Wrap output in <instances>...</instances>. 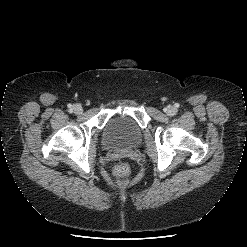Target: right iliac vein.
I'll return each instance as SVG.
<instances>
[{"label": "right iliac vein", "instance_id": "right-iliac-vein-1", "mask_svg": "<svg viewBox=\"0 0 247 247\" xmlns=\"http://www.w3.org/2000/svg\"><path fill=\"white\" fill-rule=\"evenodd\" d=\"M74 111H75V113L80 114V113H82L83 109H82V107L80 105H75L74 106Z\"/></svg>", "mask_w": 247, "mask_h": 247}]
</instances>
